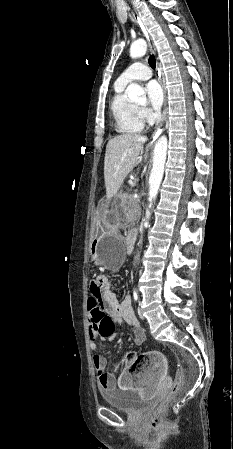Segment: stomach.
Instances as JSON below:
<instances>
[{
    "mask_svg": "<svg viewBox=\"0 0 233 449\" xmlns=\"http://www.w3.org/2000/svg\"><path fill=\"white\" fill-rule=\"evenodd\" d=\"M114 201H99V210H114ZM119 212H93V221H98L97 236L90 243V253L97 264L109 270H118L124 259V244L122 239L115 233Z\"/></svg>",
    "mask_w": 233,
    "mask_h": 449,
    "instance_id": "1",
    "label": "stomach"
}]
</instances>
